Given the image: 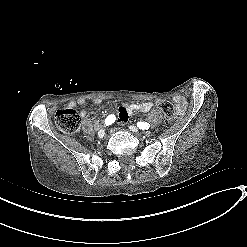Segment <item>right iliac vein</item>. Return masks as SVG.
<instances>
[{"label":"right iliac vein","mask_w":247,"mask_h":247,"mask_svg":"<svg viewBox=\"0 0 247 247\" xmlns=\"http://www.w3.org/2000/svg\"><path fill=\"white\" fill-rule=\"evenodd\" d=\"M104 135H105V130H104V129L99 130V132H98V137H99V138H103Z\"/></svg>","instance_id":"63e3f726"}]
</instances>
